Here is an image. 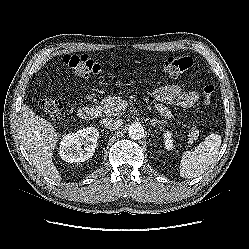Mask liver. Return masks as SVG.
<instances>
[{
    "mask_svg": "<svg viewBox=\"0 0 249 249\" xmlns=\"http://www.w3.org/2000/svg\"><path fill=\"white\" fill-rule=\"evenodd\" d=\"M19 134L37 170L53 180L61 179L53 164V150L58 141L52 124L36 115L27 105H23L19 119Z\"/></svg>",
    "mask_w": 249,
    "mask_h": 249,
    "instance_id": "liver-1",
    "label": "liver"
}]
</instances>
